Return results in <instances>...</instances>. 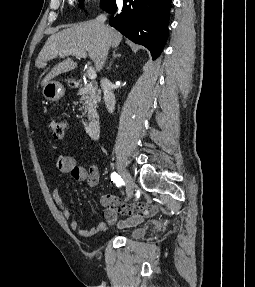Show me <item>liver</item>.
Returning a JSON list of instances; mask_svg holds the SVG:
<instances>
[{
    "mask_svg": "<svg viewBox=\"0 0 255 287\" xmlns=\"http://www.w3.org/2000/svg\"><path fill=\"white\" fill-rule=\"evenodd\" d=\"M63 28L65 30H61L58 34H52L45 42V46L35 62L36 68H45L46 62L58 58V56L65 58V56H76L78 52H88L97 72H100L107 58L109 46L117 48L122 40L120 32L110 26L96 24L95 20L82 22V24H68ZM75 68H77L76 62L67 58L52 68L51 72L43 78L41 86L48 84L55 76L71 72Z\"/></svg>",
    "mask_w": 255,
    "mask_h": 287,
    "instance_id": "6515ba94",
    "label": "liver"
}]
</instances>
